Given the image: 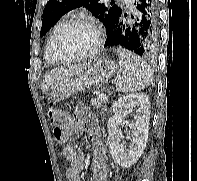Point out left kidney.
<instances>
[{
  "instance_id": "1",
  "label": "left kidney",
  "mask_w": 197,
  "mask_h": 181,
  "mask_svg": "<svg viewBox=\"0 0 197 181\" xmlns=\"http://www.w3.org/2000/svg\"><path fill=\"white\" fill-rule=\"evenodd\" d=\"M136 108V115L133 121L125 120L127 113ZM150 102L144 93L129 94L119 98L112 105L114 115L109 118L108 144L110 153L115 163L121 167L132 166L142 155L148 139ZM121 126H128L132 129V137H129L128 148L121 142L124 138Z\"/></svg>"
}]
</instances>
